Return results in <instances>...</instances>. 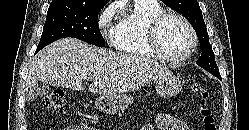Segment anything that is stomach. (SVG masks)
I'll list each match as a JSON object with an SVG mask.
<instances>
[{"instance_id":"1","label":"stomach","mask_w":249,"mask_h":130,"mask_svg":"<svg viewBox=\"0 0 249 130\" xmlns=\"http://www.w3.org/2000/svg\"><path fill=\"white\" fill-rule=\"evenodd\" d=\"M182 89V82L175 75L167 74L156 79V93L163 98L175 96ZM134 98L128 94L101 95L95 100L100 112L113 114L128 108Z\"/></svg>"}]
</instances>
